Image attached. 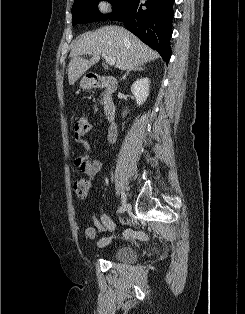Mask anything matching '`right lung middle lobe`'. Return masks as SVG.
<instances>
[{
  "mask_svg": "<svg viewBox=\"0 0 245 314\" xmlns=\"http://www.w3.org/2000/svg\"><path fill=\"white\" fill-rule=\"evenodd\" d=\"M101 0H77L72 6V24L87 23L107 19L111 14L120 10L129 0H107L113 6V12L110 14H101L97 9V4Z\"/></svg>",
  "mask_w": 245,
  "mask_h": 314,
  "instance_id": "right-lung-middle-lobe-1",
  "label": "right lung middle lobe"
}]
</instances>
